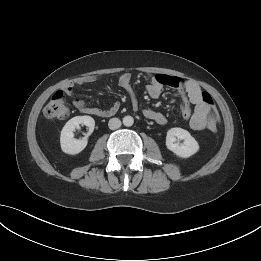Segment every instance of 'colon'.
Returning <instances> with one entry per match:
<instances>
[{
    "instance_id": "5ec220e1",
    "label": "colon",
    "mask_w": 261,
    "mask_h": 261,
    "mask_svg": "<svg viewBox=\"0 0 261 261\" xmlns=\"http://www.w3.org/2000/svg\"><path fill=\"white\" fill-rule=\"evenodd\" d=\"M204 100L213 104L208 93L203 94ZM43 116L47 119H65L69 116V108L66 104L65 95L62 91L56 92L43 109ZM219 119L217 120V122ZM216 122V124H217Z\"/></svg>"
}]
</instances>
